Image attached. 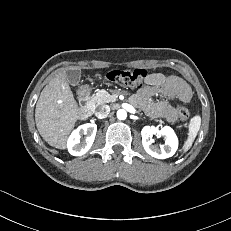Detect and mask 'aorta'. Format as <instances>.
<instances>
[{"label": "aorta", "instance_id": "obj_1", "mask_svg": "<svg viewBox=\"0 0 231 231\" xmlns=\"http://www.w3.org/2000/svg\"><path fill=\"white\" fill-rule=\"evenodd\" d=\"M126 117H127V112H126V110H124V109H119V110L117 111V118H118L119 120H125Z\"/></svg>", "mask_w": 231, "mask_h": 231}]
</instances>
